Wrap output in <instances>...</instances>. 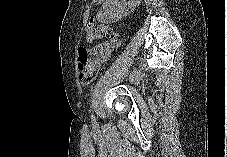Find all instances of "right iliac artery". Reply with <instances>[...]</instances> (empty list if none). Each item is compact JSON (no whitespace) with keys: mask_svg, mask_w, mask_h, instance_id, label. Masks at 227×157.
<instances>
[{"mask_svg":"<svg viewBox=\"0 0 227 157\" xmlns=\"http://www.w3.org/2000/svg\"><path fill=\"white\" fill-rule=\"evenodd\" d=\"M92 125L95 127L96 126V121H95V117L92 115Z\"/></svg>","mask_w":227,"mask_h":157,"instance_id":"1","label":"right iliac artery"}]
</instances>
